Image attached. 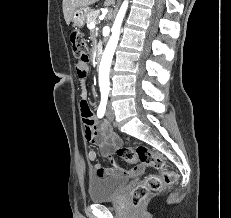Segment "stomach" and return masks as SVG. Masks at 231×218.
<instances>
[{"label":"stomach","instance_id":"0dacf381","mask_svg":"<svg viewBox=\"0 0 231 218\" xmlns=\"http://www.w3.org/2000/svg\"><path fill=\"white\" fill-rule=\"evenodd\" d=\"M90 11L88 7H80L76 9L72 15V22L75 27H83L87 13Z\"/></svg>","mask_w":231,"mask_h":218}]
</instances>
